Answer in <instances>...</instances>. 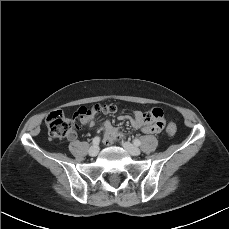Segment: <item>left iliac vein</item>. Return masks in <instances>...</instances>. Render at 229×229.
<instances>
[{"mask_svg":"<svg viewBox=\"0 0 229 229\" xmlns=\"http://www.w3.org/2000/svg\"><path fill=\"white\" fill-rule=\"evenodd\" d=\"M124 149L132 156H138L141 153V150L129 142H122Z\"/></svg>","mask_w":229,"mask_h":229,"instance_id":"4c4485c4","label":"left iliac vein"}]
</instances>
